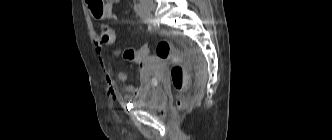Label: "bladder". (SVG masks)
<instances>
[{
    "label": "bladder",
    "mask_w": 332,
    "mask_h": 140,
    "mask_svg": "<svg viewBox=\"0 0 332 140\" xmlns=\"http://www.w3.org/2000/svg\"><path fill=\"white\" fill-rule=\"evenodd\" d=\"M165 99V93L161 90H153L146 97L135 101V105L141 108H156Z\"/></svg>",
    "instance_id": "31cf9c89"
}]
</instances>
